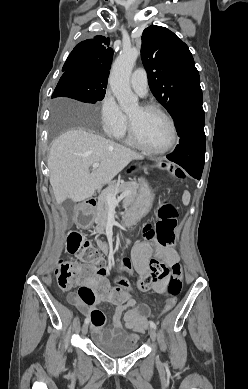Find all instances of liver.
Wrapping results in <instances>:
<instances>
[{
  "label": "liver",
  "instance_id": "liver-1",
  "mask_svg": "<svg viewBox=\"0 0 248 389\" xmlns=\"http://www.w3.org/2000/svg\"><path fill=\"white\" fill-rule=\"evenodd\" d=\"M137 152L83 129H72L53 143L49 157L50 184L58 204L92 197L131 161L143 160ZM100 166L90 173V166Z\"/></svg>",
  "mask_w": 248,
  "mask_h": 389
}]
</instances>
